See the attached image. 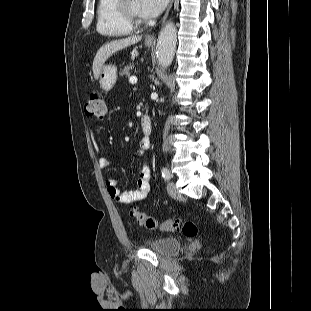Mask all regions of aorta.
<instances>
[{"label":"aorta","mask_w":311,"mask_h":311,"mask_svg":"<svg viewBox=\"0 0 311 311\" xmlns=\"http://www.w3.org/2000/svg\"><path fill=\"white\" fill-rule=\"evenodd\" d=\"M177 42V29L173 22L164 25L157 39L156 54L159 64L166 69L172 63Z\"/></svg>","instance_id":"1"}]
</instances>
